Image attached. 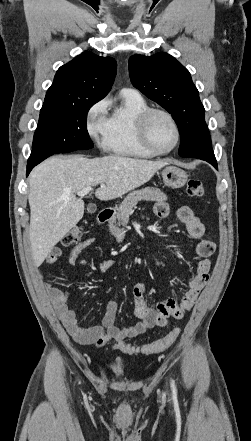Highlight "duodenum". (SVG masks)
Returning <instances> with one entry per match:
<instances>
[{
	"instance_id": "duodenum-1",
	"label": "duodenum",
	"mask_w": 251,
	"mask_h": 441,
	"mask_svg": "<svg viewBox=\"0 0 251 441\" xmlns=\"http://www.w3.org/2000/svg\"><path fill=\"white\" fill-rule=\"evenodd\" d=\"M115 214V210L113 208H106L99 212L98 214V222L100 224H105L108 222Z\"/></svg>"
}]
</instances>
